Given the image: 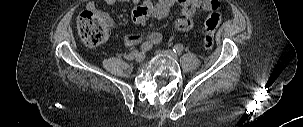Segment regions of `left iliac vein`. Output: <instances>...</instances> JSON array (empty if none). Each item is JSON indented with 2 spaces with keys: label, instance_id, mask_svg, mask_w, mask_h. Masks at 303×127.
Segmentation results:
<instances>
[{
  "label": "left iliac vein",
  "instance_id": "obj_1",
  "mask_svg": "<svg viewBox=\"0 0 303 127\" xmlns=\"http://www.w3.org/2000/svg\"><path fill=\"white\" fill-rule=\"evenodd\" d=\"M156 54L161 57H169L173 59H176L178 57V54L173 50H158L156 51Z\"/></svg>",
  "mask_w": 303,
  "mask_h": 127
}]
</instances>
